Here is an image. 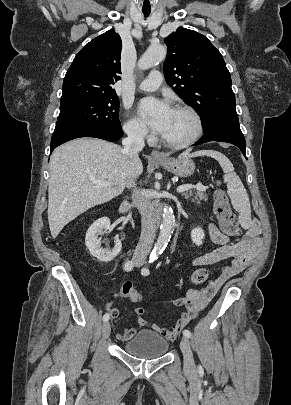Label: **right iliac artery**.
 <instances>
[{"instance_id": "obj_1", "label": "right iliac artery", "mask_w": 291, "mask_h": 405, "mask_svg": "<svg viewBox=\"0 0 291 405\" xmlns=\"http://www.w3.org/2000/svg\"><path fill=\"white\" fill-rule=\"evenodd\" d=\"M133 267H134V263L132 261H128L124 265V269L127 272L131 271L133 269ZM109 318H110L109 314L105 313L104 316H103V321L106 322V321L109 320Z\"/></svg>"}]
</instances>
